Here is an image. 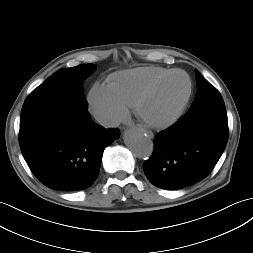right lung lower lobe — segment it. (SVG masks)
Here are the masks:
<instances>
[{"label": "right lung lower lobe", "mask_w": 253, "mask_h": 253, "mask_svg": "<svg viewBox=\"0 0 253 253\" xmlns=\"http://www.w3.org/2000/svg\"><path fill=\"white\" fill-rule=\"evenodd\" d=\"M120 135L90 117L87 107L65 101L21 115L19 144L33 174L54 190L90 187L104 149Z\"/></svg>", "instance_id": "right-lung-lower-lobe-1"}]
</instances>
